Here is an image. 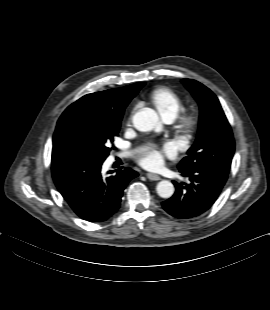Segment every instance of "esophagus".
I'll list each match as a JSON object with an SVG mask.
<instances>
[{
  "label": "esophagus",
  "instance_id": "obj_1",
  "mask_svg": "<svg viewBox=\"0 0 270 310\" xmlns=\"http://www.w3.org/2000/svg\"><path fill=\"white\" fill-rule=\"evenodd\" d=\"M146 176L148 179L153 180V181H158L161 179L159 175L154 174V173H147Z\"/></svg>",
  "mask_w": 270,
  "mask_h": 310
}]
</instances>
